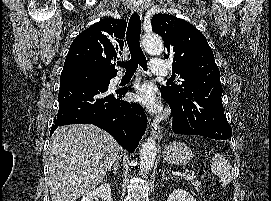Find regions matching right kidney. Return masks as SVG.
Instances as JSON below:
<instances>
[{"label": "right kidney", "mask_w": 271, "mask_h": 201, "mask_svg": "<svg viewBox=\"0 0 271 201\" xmlns=\"http://www.w3.org/2000/svg\"><path fill=\"white\" fill-rule=\"evenodd\" d=\"M112 201L111 187L108 183L101 184L98 188L88 192L81 201Z\"/></svg>", "instance_id": "1"}]
</instances>
